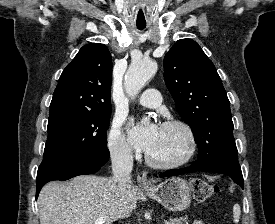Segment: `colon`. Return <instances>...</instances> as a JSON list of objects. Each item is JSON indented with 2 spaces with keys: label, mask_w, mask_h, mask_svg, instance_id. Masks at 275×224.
<instances>
[{
  "label": "colon",
  "mask_w": 275,
  "mask_h": 224,
  "mask_svg": "<svg viewBox=\"0 0 275 224\" xmlns=\"http://www.w3.org/2000/svg\"><path fill=\"white\" fill-rule=\"evenodd\" d=\"M192 192L197 201H205L217 192V187L202 179H195L192 184Z\"/></svg>",
  "instance_id": "1"
}]
</instances>
